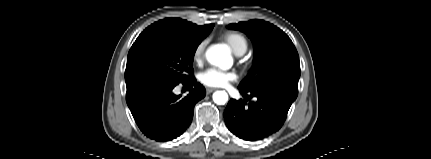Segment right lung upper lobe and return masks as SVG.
Instances as JSON below:
<instances>
[{
    "label": "right lung upper lobe",
    "mask_w": 431,
    "mask_h": 159,
    "mask_svg": "<svg viewBox=\"0 0 431 159\" xmlns=\"http://www.w3.org/2000/svg\"><path fill=\"white\" fill-rule=\"evenodd\" d=\"M152 26H158L173 30L190 38L204 39L211 32L212 28L214 27V24L198 26L196 24L179 18H166L155 22L154 24H152Z\"/></svg>",
    "instance_id": "right-lung-upper-lobe-1"
}]
</instances>
